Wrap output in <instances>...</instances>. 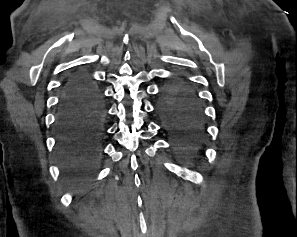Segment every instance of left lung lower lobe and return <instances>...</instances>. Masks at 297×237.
Returning a JSON list of instances; mask_svg holds the SVG:
<instances>
[{"instance_id":"obj_1","label":"left lung lower lobe","mask_w":297,"mask_h":237,"mask_svg":"<svg viewBox=\"0 0 297 237\" xmlns=\"http://www.w3.org/2000/svg\"><path fill=\"white\" fill-rule=\"evenodd\" d=\"M159 111L165 128L174 139L175 147L187 156L198 152L206 136L204 114L200 103L180 101L173 104H161Z\"/></svg>"}]
</instances>
